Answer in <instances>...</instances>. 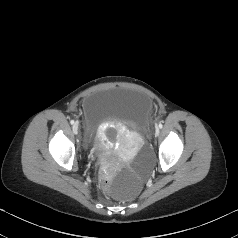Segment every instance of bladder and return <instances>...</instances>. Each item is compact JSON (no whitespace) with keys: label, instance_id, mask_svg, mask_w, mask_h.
<instances>
[{"label":"bladder","instance_id":"bladder-1","mask_svg":"<svg viewBox=\"0 0 238 238\" xmlns=\"http://www.w3.org/2000/svg\"><path fill=\"white\" fill-rule=\"evenodd\" d=\"M152 102L144 94L123 89L103 90L88 97L83 105L85 140L92 143L99 126L117 121L145 133L150 125Z\"/></svg>","mask_w":238,"mask_h":238}]
</instances>
